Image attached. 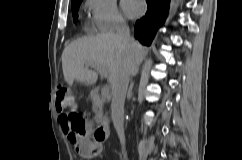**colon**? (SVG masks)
I'll return each instance as SVG.
<instances>
[{
	"mask_svg": "<svg viewBox=\"0 0 242 160\" xmlns=\"http://www.w3.org/2000/svg\"><path fill=\"white\" fill-rule=\"evenodd\" d=\"M56 108L65 113L61 119L68 125V129L71 133L76 135H82L86 131L87 121L85 117L77 111L71 110L72 97L69 93L67 86L60 84L56 90ZM92 147L87 153L89 157L97 156L100 152L99 144L91 142Z\"/></svg>",
	"mask_w": 242,
	"mask_h": 160,
	"instance_id": "1",
	"label": "colon"
}]
</instances>
